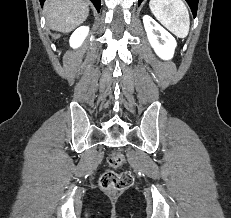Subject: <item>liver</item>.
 Instances as JSON below:
<instances>
[{"mask_svg":"<svg viewBox=\"0 0 231 218\" xmlns=\"http://www.w3.org/2000/svg\"><path fill=\"white\" fill-rule=\"evenodd\" d=\"M44 13L52 30L69 33L89 15L88 0H47Z\"/></svg>","mask_w":231,"mask_h":218,"instance_id":"6515ba94","label":"liver"}]
</instances>
